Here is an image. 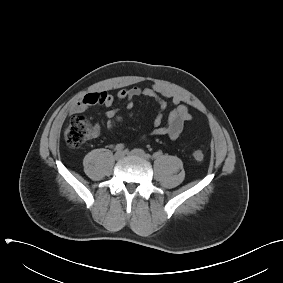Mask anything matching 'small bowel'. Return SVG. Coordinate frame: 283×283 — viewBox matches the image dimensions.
Segmentation results:
<instances>
[{
	"label": "small bowel",
	"mask_w": 283,
	"mask_h": 283,
	"mask_svg": "<svg viewBox=\"0 0 283 283\" xmlns=\"http://www.w3.org/2000/svg\"><path fill=\"white\" fill-rule=\"evenodd\" d=\"M139 96H145L154 99L159 105V112L154 118V129L151 134L154 136H168L172 140L180 138L184 124L192 119V115L188 106L183 102V99L174 92L164 88L161 85L153 84L149 87L133 86L130 88H123L118 91L117 98L126 100V109L132 110L134 107L133 99ZM167 99L173 105L167 121L164 124V111L167 108ZM114 96L105 92H91L86 94L82 99L74 103L70 108L71 114L84 112L89 106L103 105L111 107L114 103ZM117 114V110L110 109L106 112V127L110 132L114 130L113 119ZM99 127L93 129L92 135H97Z\"/></svg>",
	"instance_id": "small-bowel-1"
}]
</instances>
